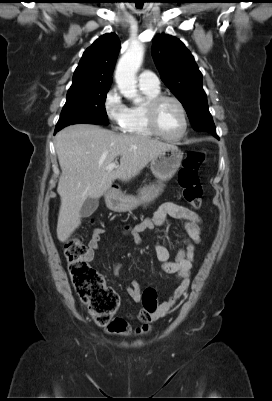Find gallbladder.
<instances>
[{
    "label": "gallbladder",
    "mask_w": 272,
    "mask_h": 401,
    "mask_svg": "<svg viewBox=\"0 0 272 401\" xmlns=\"http://www.w3.org/2000/svg\"><path fill=\"white\" fill-rule=\"evenodd\" d=\"M99 200L97 198H87L80 210V214L82 217L91 216L98 208Z\"/></svg>",
    "instance_id": "1"
}]
</instances>
